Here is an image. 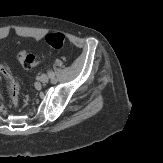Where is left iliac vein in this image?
<instances>
[{
	"instance_id": "1",
	"label": "left iliac vein",
	"mask_w": 163,
	"mask_h": 163,
	"mask_svg": "<svg viewBox=\"0 0 163 163\" xmlns=\"http://www.w3.org/2000/svg\"><path fill=\"white\" fill-rule=\"evenodd\" d=\"M39 81L42 83H47L49 81V76L47 74H42L39 77Z\"/></svg>"
}]
</instances>
